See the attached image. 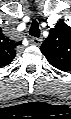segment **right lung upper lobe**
Returning <instances> with one entry per match:
<instances>
[{"instance_id":"cb5924a9","label":"right lung upper lobe","mask_w":71,"mask_h":119,"mask_svg":"<svg viewBox=\"0 0 71 119\" xmlns=\"http://www.w3.org/2000/svg\"><path fill=\"white\" fill-rule=\"evenodd\" d=\"M18 45H21V42H14L3 34L0 35V67L12 62L16 55L15 48Z\"/></svg>"}]
</instances>
